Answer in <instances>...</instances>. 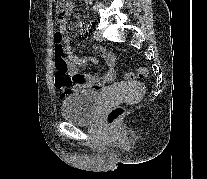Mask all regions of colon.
<instances>
[{
	"mask_svg": "<svg viewBox=\"0 0 207 179\" xmlns=\"http://www.w3.org/2000/svg\"><path fill=\"white\" fill-rule=\"evenodd\" d=\"M68 5V0H54V6L61 17L65 14ZM54 40V64L56 68V85L62 91L64 95H68L74 89L77 76H72L69 71L68 62L64 56L63 36L60 32L56 31L53 37ZM148 70L146 67L137 68L135 74L130 73L128 78L133 79L135 77L144 78L147 76ZM125 110L122 106H116L112 108L107 114V122L111 126L118 125L121 118L124 116Z\"/></svg>",
	"mask_w": 207,
	"mask_h": 179,
	"instance_id": "1",
	"label": "colon"
}]
</instances>
